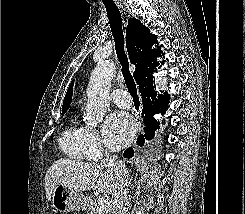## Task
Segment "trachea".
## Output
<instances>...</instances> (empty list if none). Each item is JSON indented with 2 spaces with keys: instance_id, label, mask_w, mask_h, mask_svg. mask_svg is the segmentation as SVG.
<instances>
[{
  "instance_id": "obj_1",
  "label": "trachea",
  "mask_w": 245,
  "mask_h": 214,
  "mask_svg": "<svg viewBox=\"0 0 245 214\" xmlns=\"http://www.w3.org/2000/svg\"><path fill=\"white\" fill-rule=\"evenodd\" d=\"M104 5L107 11L112 35L114 37L117 57L122 66V72H123L126 86L131 96L133 97L134 102L140 103L139 96L137 94L136 84L129 71L128 58L124 51V35L122 30V19H121L120 11L115 4L105 3Z\"/></svg>"
}]
</instances>
